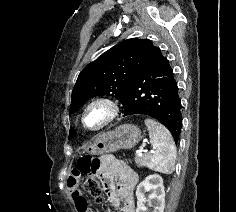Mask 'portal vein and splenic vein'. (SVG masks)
Instances as JSON below:
<instances>
[{
    "label": "portal vein and splenic vein",
    "mask_w": 236,
    "mask_h": 212,
    "mask_svg": "<svg viewBox=\"0 0 236 212\" xmlns=\"http://www.w3.org/2000/svg\"><path fill=\"white\" fill-rule=\"evenodd\" d=\"M144 151V147H140V149L137 151L140 155H142V152ZM150 153H153V151H151Z\"/></svg>",
    "instance_id": "obj_1"
}]
</instances>
